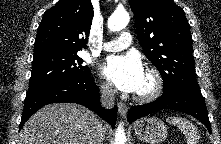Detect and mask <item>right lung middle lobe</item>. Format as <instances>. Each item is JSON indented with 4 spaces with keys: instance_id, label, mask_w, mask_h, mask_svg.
<instances>
[{
    "instance_id": "1",
    "label": "right lung middle lobe",
    "mask_w": 221,
    "mask_h": 144,
    "mask_svg": "<svg viewBox=\"0 0 221 144\" xmlns=\"http://www.w3.org/2000/svg\"><path fill=\"white\" fill-rule=\"evenodd\" d=\"M77 52L43 51L34 53L28 92L62 80L84 81L91 77Z\"/></svg>"
}]
</instances>
